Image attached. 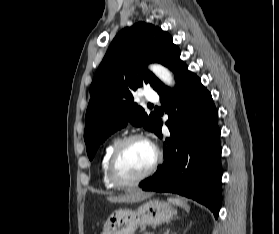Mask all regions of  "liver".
I'll use <instances>...</instances> for the list:
<instances>
[{"mask_svg":"<svg viewBox=\"0 0 279 234\" xmlns=\"http://www.w3.org/2000/svg\"><path fill=\"white\" fill-rule=\"evenodd\" d=\"M149 197V193H145L142 191H131L124 195L107 197V200L111 203H134L143 201Z\"/></svg>","mask_w":279,"mask_h":234,"instance_id":"1","label":"liver"}]
</instances>
